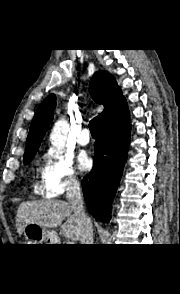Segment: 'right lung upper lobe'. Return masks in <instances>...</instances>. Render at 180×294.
<instances>
[{
  "label": "right lung upper lobe",
  "instance_id": "cb5924a9",
  "mask_svg": "<svg viewBox=\"0 0 180 294\" xmlns=\"http://www.w3.org/2000/svg\"><path fill=\"white\" fill-rule=\"evenodd\" d=\"M89 92L97 103L104 105L105 108L101 114L102 118L125 101L115 78L103 70L97 71L92 77ZM55 106L54 94H51L39 105L27 137L24 159L34 157L53 119Z\"/></svg>",
  "mask_w": 180,
  "mask_h": 294
}]
</instances>
